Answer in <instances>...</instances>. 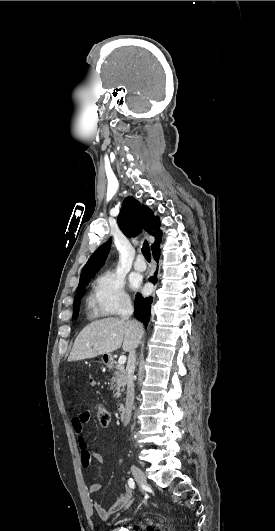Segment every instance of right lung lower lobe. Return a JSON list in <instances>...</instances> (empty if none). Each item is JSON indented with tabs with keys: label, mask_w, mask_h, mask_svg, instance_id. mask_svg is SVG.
I'll return each instance as SVG.
<instances>
[{
	"label": "right lung lower lobe",
	"mask_w": 275,
	"mask_h": 531,
	"mask_svg": "<svg viewBox=\"0 0 275 531\" xmlns=\"http://www.w3.org/2000/svg\"><path fill=\"white\" fill-rule=\"evenodd\" d=\"M152 252H153L154 259L158 262L159 256H160L159 245L154 247L152 249ZM149 281H151L153 284H156L157 271L154 273V276L149 278ZM152 301H153L152 297L144 298L139 293L136 295V298H135L134 315L139 321H141L145 325V327H147L149 319H150V310H151Z\"/></svg>",
	"instance_id": "98d812e1"
}]
</instances>
